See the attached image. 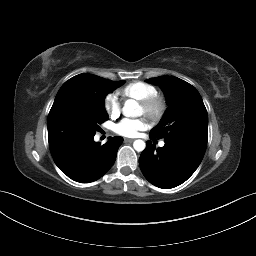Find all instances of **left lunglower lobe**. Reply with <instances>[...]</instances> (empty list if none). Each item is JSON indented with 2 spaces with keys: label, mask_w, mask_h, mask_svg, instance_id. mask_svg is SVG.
I'll list each match as a JSON object with an SVG mask.
<instances>
[{
  "label": "left lung lower lobe",
  "mask_w": 256,
  "mask_h": 256,
  "mask_svg": "<svg viewBox=\"0 0 256 256\" xmlns=\"http://www.w3.org/2000/svg\"><path fill=\"white\" fill-rule=\"evenodd\" d=\"M204 154L180 143L165 142L163 147L156 149L147 141L139 165L151 184L169 189L185 182L198 168Z\"/></svg>",
  "instance_id": "left-lung-lower-lobe-1"
}]
</instances>
